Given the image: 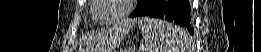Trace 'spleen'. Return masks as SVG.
I'll use <instances>...</instances> for the list:
<instances>
[{
    "mask_svg": "<svg viewBox=\"0 0 261 52\" xmlns=\"http://www.w3.org/2000/svg\"><path fill=\"white\" fill-rule=\"evenodd\" d=\"M138 26L144 41L142 52H187L192 46L188 34L167 21L142 18Z\"/></svg>",
    "mask_w": 261,
    "mask_h": 52,
    "instance_id": "spleen-1",
    "label": "spleen"
}]
</instances>
